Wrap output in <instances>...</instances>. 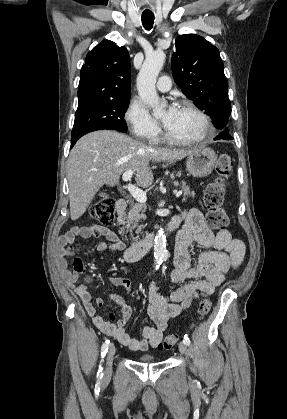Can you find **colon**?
Masks as SVG:
<instances>
[{"label": "colon", "mask_w": 287, "mask_h": 419, "mask_svg": "<svg viewBox=\"0 0 287 419\" xmlns=\"http://www.w3.org/2000/svg\"><path fill=\"white\" fill-rule=\"evenodd\" d=\"M233 170V160L229 154H221L217 161L218 177L209 183L204 190V204L207 209V221L213 229H225L229 225L228 216L223 208L226 192L225 179L230 177ZM90 217L104 225H111L115 222V201L107 197L99 200L91 209ZM74 270L81 272L83 262L81 259L74 260ZM212 303L209 299H202L198 306L200 316L209 313ZM178 341L177 334H169L158 344L160 350L171 349Z\"/></svg>", "instance_id": "5ec220e1"}]
</instances>
